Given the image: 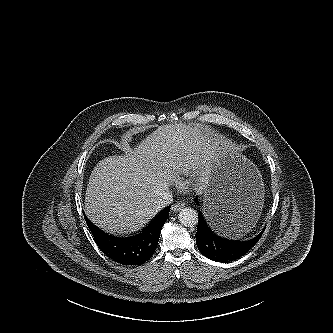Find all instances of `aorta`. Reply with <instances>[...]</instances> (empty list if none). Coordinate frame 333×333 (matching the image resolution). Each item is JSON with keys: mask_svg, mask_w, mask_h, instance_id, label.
Wrapping results in <instances>:
<instances>
[{"mask_svg": "<svg viewBox=\"0 0 333 333\" xmlns=\"http://www.w3.org/2000/svg\"><path fill=\"white\" fill-rule=\"evenodd\" d=\"M179 221L184 226H195L198 223V213L193 208H183L178 215Z\"/></svg>", "mask_w": 333, "mask_h": 333, "instance_id": "1", "label": "aorta"}]
</instances>
